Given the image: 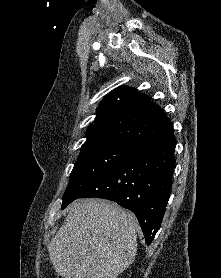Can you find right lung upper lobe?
<instances>
[{"label":"right lung upper lobe","mask_w":221,"mask_h":278,"mask_svg":"<svg viewBox=\"0 0 221 278\" xmlns=\"http://www.w3.org/2000/svg\"><path fill=\"white\" fill-rule=\"evenodd\" d=\"M96 113L84 144L114 140L138 145L173 134L171 122L161 108L132 87L123 86L110 92Z\"/></svg>","instance_id":"obj_1"}]
</instances>
